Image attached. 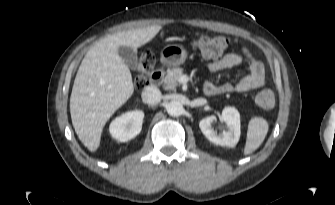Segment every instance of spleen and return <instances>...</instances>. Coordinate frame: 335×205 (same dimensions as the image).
<instances>
[{"label": "spleen", "instance_id": "spleen-1", "mask_svg": "<svg viewBox=\"0 0 335 205\" xmlns=\"http://www.w3.org/2000/svg\"><path fill=\"white\" fill-rule=\"evenodd\" d=\"M268 129V122L264 118H251L248 124L247 139L244 148L245 155H248L259 148L268 133Z\"/></svg>", "mask_w": 335, "mask_h": 205}]
</instances>
